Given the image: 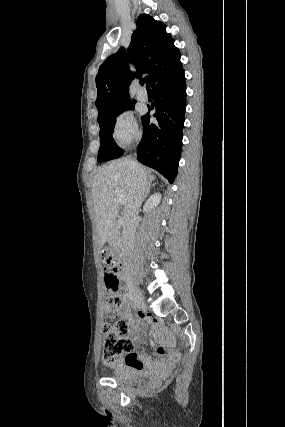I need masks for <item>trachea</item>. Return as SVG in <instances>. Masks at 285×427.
<instances>
[{
  "mask_svg": "<svg viewBox=\"0 0 285 427\" xmlns=\"http://www.w3.org/2000/svg\"><path fill=\"white\" fill-rule=\"evenodd\" d=\"M145 82H143V84H144ZM146 89H147V91L148 92H150L151 91V89H150V86H149V84L148 83H146Z\"/></svg>",
  "mask_w": 285,
  "mask_h": 427,
  "instance_id": "3493384b",
  "label": "trachea"
}]
</instances>
